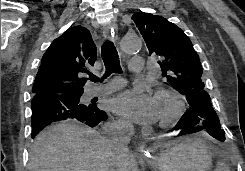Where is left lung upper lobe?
<instances>
[{"instance_id":"1","label":"left lung upper lobe","mask_w":245,"mask_h":171,"mask_svg":"<svg viewBox=\"0 0 245 171\" xmlns=\"http://www.w3.org/2000/svg\"><path fill=\"white\" fill-rule=\"evenodd\" d=\"M149 50L160 57L162 76L181 94L204 89L202 67L189 37L161 16L137 12L132 16Z\"/></svg>"}]
</instances>
